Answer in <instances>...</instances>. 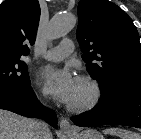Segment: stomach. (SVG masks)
<instances>
[{"label":"stomach","instance_id":"stomach-1","mask_svg":"<svg viewBox=\"0 0 141 139\" xmlns=\"http://www.w3.org/2000/svg\"><path fill=\"white\" fill-rule=\"evenodd\" d=\"M70 139H104L103 135L95 129H85L81 132L68 133Z\"/></svg>","mask_w":141,"mask_h":139}]
</instances>
